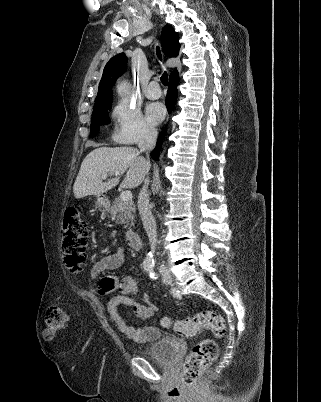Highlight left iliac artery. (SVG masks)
Segmentation results:
<instances>
[{
    "instance_id": "left-iliac-artery-1",
    "label": "left iliac artery",
    "mask_w": 321,
    "mask_h": 402,
    "mask_svg": "<svg viewBox=\"0 0 321 402\" xmlns=\"http://www.w3.org/2000/svg\"><path fill=\"white\" fill-rule=\"evenodd\" d=\"M148 272H149V276H150L152 279H156V278H157V275L155 274L153 268H151L150 270H148Z\"/></svg>"
}]
</instances>
